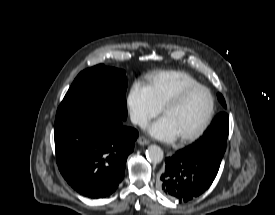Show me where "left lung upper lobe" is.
<instances>
[{
	"label": "left lung upper lobe",
	"instance_id": "left-lung-upper-lobe-1",
	"mask_svg": "<svg viewBox=\"0 0 275 215\" xmlns=\"http://www.w3.org/2000/svg\"><path fill=\"white\" fill-rule=\"evenodd\" d=\"M218 100L226 108L223 96L218 93ZM229 133V116L225 112L219 113L213 120L205 134L184 150L191 155L210 159L221 163L226 150V141Z\"/></svg>",
	"mask_w": 275,
	"mask_h": 215
}]
</instances>
